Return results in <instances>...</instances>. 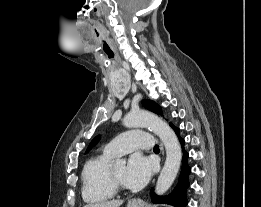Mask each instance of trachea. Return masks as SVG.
<instances>
[{"mask_svg": "<svg viewBox=\"0 0 261 207\" xmlns=\"http://www.w3.org/2000/svg\"><path fill=\"white\" fill-rule=\"evenodd\" d=\"M153 150H159V147H158V146H155Z\"/></svg>", "mask_w": 261, "mask_h": 207, "instance_id": "obj_1", "label": "trachea"}]
</instances>
